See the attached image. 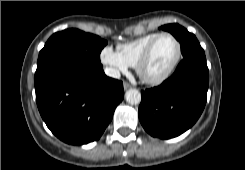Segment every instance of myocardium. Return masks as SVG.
Wrapping results in <instances>:
<instances>
[{
	"label": "myocardium",
	"mask_w": 245,
	"mask_h": 170,
	"mask_svg": "<svg viewBox=\"0 0 245 170\" xmlns=\"http://www.w3.org/2000/svg\"><path fill=\"white\" fill-rule=\"evenodd\" d=\"M170 37L173 39V41L176 44V54L175 57L172 61V63L170 64V66L160 75L155 76V77H151L145 74L144 72V65L146 64V62L148 61L154 46L156 45V43L159 41V39H161L162 37ZM181 59V45L179 40L176 38L175 35L169 33V32H162L160 34H158L154 39H152L149 44L146 46V48L144 49V51L141 53V55L139 56L137 63H136V71L139 75V77L146 83L151 84V85H158L163 83L164 81H166L168 78L171 77V75L174 73V71L176 70L179 62Z\"/></svg>",
	"instance_id": "f54148a6"
}]
</instances>
